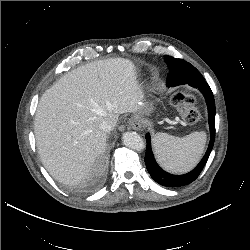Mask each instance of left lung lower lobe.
Instances as JSON below:
<instances>
[{"mask_svg":"<svg viewBox=\"0 0 250 250\" xmlns=\"http://www.w3.org/2000/svg\"><path fill=\"white\" fill-rule=\"evenodd\" d=\"M173 63L174 64L169 65L171 73L175 76L179 75L181 77H179V80L174 81L172 85L177 86L181 84H189L195 88H198L206 99V103L208 106L209 126H210V143L206 151V154L199 162V164L191 172L184 175H172L164 171L155 161L151 148L150 134L147 133L145 136L147 141V147L144 159L147 170L149 171L151 177L157 183L166 187H180L188 185L191 182H193L204 168L209 158V155L212 151L215 140V101L209 85L205 82L203 76H198L199 75L198 70L190 63L182 59H178Z\"/></svg>","mask_w":250,"mask_h":250,"instance_id":"0a47b994","label":"left lung lower lobe"}]
</instances>
